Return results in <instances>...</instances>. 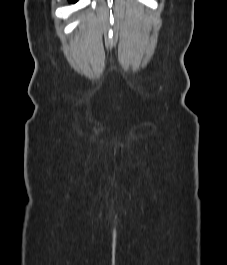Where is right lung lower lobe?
I'll return each mask as SVG.
<instances>
[{"mask_svg":"<svg viewBox=\"0 0 227 265\" xmlns=\"http://www.w3.org/2000/svg\"><path fill=\"white\" fill-rule=\"evenodd\" d=\"M70 2H72V3H75V2H77V0H69Z\"/></svg>","mask_w":227,"mask_h":265,"instance_id":"98d812e1","label":"right lung lower lobe"}]
</instances>
